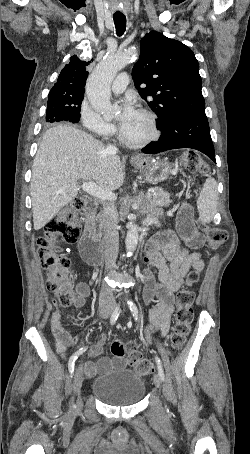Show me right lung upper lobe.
Here are the masks:
<instances>
[{
  "label": "right lung upper lobe",
  "instance_id": "obj_1",
  "mask_svg": "<svg viewBox=\"0 0 250 454\" xmlns=\"http://www.w3.org/2000/svg\"><path fill=\"white\" fill-rule=\"evenodd\" d=\"M90 62L80 60L77 55L70 58L69 64L61 70L57 82L49 92V96L58 98H79L84 96V86L88 72L86 70Z\"/></svg>",
  "mask_w": 250,
  "mask_h": 454
}]
</instances>
